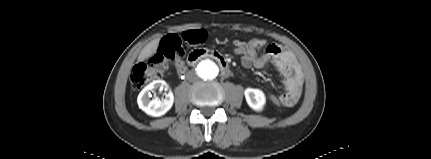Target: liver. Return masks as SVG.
<instances>
[{"instance_id":"6515ba94","label":"liver","mask_w":431,"mask_h":159,"mask_svg":"<svg viewBox=\"0 0 431 159\" xmlns=\"http://www.w3.org/2000/svg\"><path fill=\"white\" fill-rule=\"evenodd\" d=\"M159 46V39L153 40L150 43H148L140 52L137 61L143 62L150 56L156 53Z\"/></svg>"}]
</instances>
